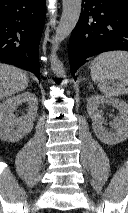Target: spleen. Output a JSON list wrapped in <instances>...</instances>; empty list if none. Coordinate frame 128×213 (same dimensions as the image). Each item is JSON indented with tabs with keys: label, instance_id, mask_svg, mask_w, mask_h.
Listing matches in <instances>:
<instances>
[{
	"label": "spleen",
	"instance_id": "3e777b00",
	"mask_svg": "<svg viewBox=\"0 0 128 213\" xmlns=\"http://www.w3.org/2000/svg\"><path fill=\"white\" fill-rule=\"evenodd\" d=\"M91 78L106 97L128 93V52L111 51L98 55L91 63ZM117 80V84L110 85Z\"/></svg>",
	"mask_w": 128,
	"mask_h": 213
}]
</instances>
